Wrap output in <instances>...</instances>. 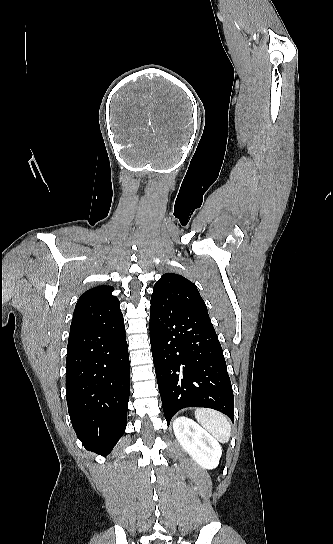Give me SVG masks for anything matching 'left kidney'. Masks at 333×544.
I'll return each mask as SVG.
<instances>
[{"label": "left kidney", "instance_id": "left-kidney-1", "mask_svg": "<svg viewBox=\"0 0 333 544\" xmlns=\"http://www.w3.org/2000/svg\"><path fill=\"white\" fill-rule=\"evenodd\" d=\"M174 434L182 448L205 469L219 464L222 449L218 441L196 422L179 417L173 422Z\"/></svg>", "mask_w": 333, "mask_h": 544}]
</instances>
